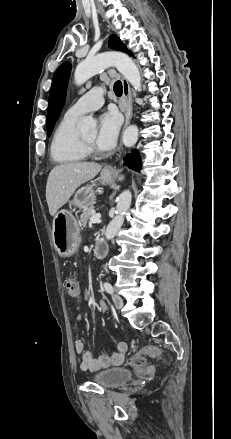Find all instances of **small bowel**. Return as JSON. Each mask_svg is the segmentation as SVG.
<instances>
[{"label": "small bowel", "instance_id": "obj_1", "mask_svg": "<svg viewBox=\"0 0 231 439\" xmlns=\"http://www.w3.org/2000/svg\"><path fill=\"white\" fill-rule=\"evenodd\" d=\"M79 294V298H74L77 301V305L75 307L76 324H79L82 320L81 301L86 293L82 290ZM97 308L100 313H104L107 310V305L104 301H100ZM74 349L75 352L81 356L79 362L80 368L82 370L97 372L112 366L122 365L125 353L127 351V345L126 343L120 341L117 343V352L111 355L103 354L97 358H94L93 354L85 349L83 341L77 338L74 342Z\"/></svg>", "mask_w": 231, "mask_h": 439}]
</instances>
